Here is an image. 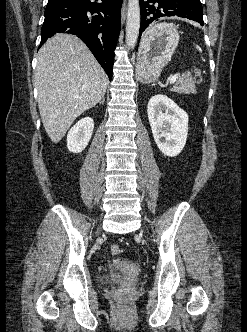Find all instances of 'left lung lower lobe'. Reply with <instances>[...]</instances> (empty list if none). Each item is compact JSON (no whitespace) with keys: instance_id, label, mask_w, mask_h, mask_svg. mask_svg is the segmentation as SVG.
Returning <instances> with one entry per match:
<instances>
[{"instance_id":"left-lung-lower-lobe-1","label":"left lung lower lobe","mask_w":247,"mask_h":332,"mask_svg":"<svg viewBox=\"0 0 247 332\" xmlns=\"http://www.w3.org/2000/svg\"><path fill=\"white\" fill-rule=\"evenodd\" d=\"M139 3L141 11L139 38L154 20L161 17L178 16L204 25L200 0H139ZM155 3L156 6L152 5Z\"/></svg>"}]
</instances>
